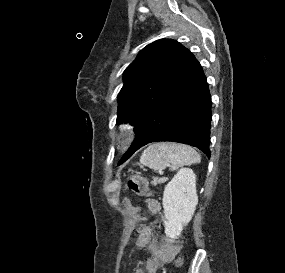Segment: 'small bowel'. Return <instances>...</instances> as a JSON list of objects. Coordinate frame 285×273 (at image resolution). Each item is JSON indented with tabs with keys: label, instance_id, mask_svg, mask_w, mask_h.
Listing matches in <instances>:
<instances>
[{
	"label": "small bowel",
	"instance_id": "small-bowel-1",
	"mask_svg": "<svg viewBox=\"0 0 285 273\" xmlns=\"http://www.w3.org/2000/svg\"><path fill=\"white\" fill-rule=\"evenodd\" d=\"M148 211L152 214H159L162 211L160 202L154 199L147 200ZM148 232H140L136 245L139 248L149 247L152 257L147 259L143 267L137 268L135 273H156L157 270L170 262L179 252V245L166 241L162 244L152 240L153 226H147Z\"/></svg>",
	"mask_w": 285,
	"mask_h": 273
}]
</instances>
